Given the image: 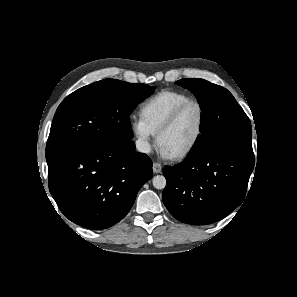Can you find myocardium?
Returning <instances> with one entry per match:
<instances>
[{
  "label": "myocardium",
  "instance_id": "f54148a6",
  "mask_svg": "<svg viewBox=\"0 0 297 297\" xmlns=\"http://www.w3.org/2000/svg\"><path fill=\"white\" fill-rule=\"evenodd\" d=\"M191 104L196 105L199 109V112H200L199 128H198L197 134H196L194 140L191 142V144L187 148H185L183 151L171 156L174 159H183V158L187 157L188 155H190L194 151V149L197 147V145L199 144V142L203 136V133H204L205 127H206L207 117H206L205 108L203 107L201 102L198 101L197 99L191 98L189 100L184 101L180 105H178L173 110V112L169 115V117L165 120V122L161 125V127L158 129V131L156 133V140H157V143L159 144L160 139L163 136V134H165L169 129H171L174 126V124L177 122L178 118L180 117L181 113L184 111V109Z\"/></svg>",
  "mask_w": 297,
  "mask_h": 297
}]
</instances>
